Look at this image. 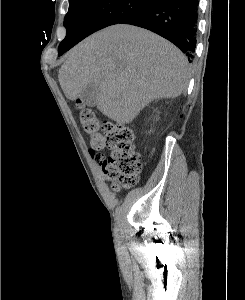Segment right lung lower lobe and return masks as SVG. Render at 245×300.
<instances>
[{"instance_id":"obj_1","label":"right lung lower lobe","mask_w":245,"mask_h":300,"mask_svg":"<svg viewBox=\"0 0 245 300\" xmlns=\"http://www.w3.org/2000/svg\"><path fill=\"white\" fill-rule=\"evenodd\" d=\"M197 21L198 0H153L119 23L139 26L157 33L193 58Z\"/></svg>"}]
</instances>
